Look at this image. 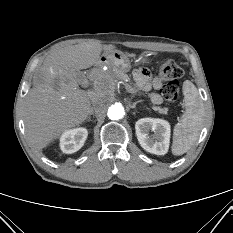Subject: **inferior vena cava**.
Here are the masks:
<instances>
[{
  "label": "inferior vena cava",
  "instance_id": "inferior-vena-cava-1",
  "mask_svg": "<svg viewBox=\"0 0 233 233\" xmlns=\"http://www.w3.org/2000/svg\"><path fill=\"white\" fill-rule=\"evenodd\" d=\"M100 94H101L100 92H96V91L88 92V96L93 104H95L98 101Z\"/></svg>",
  "mask_w": 233,
  "mask_h": 233
}]
</instances>
